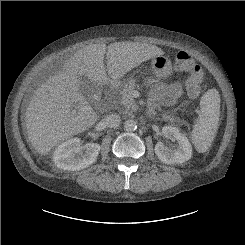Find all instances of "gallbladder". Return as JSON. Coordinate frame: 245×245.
<instances>
[{
    "instance_id": "gallbladder-1",
    "label": "gallbladder",
    "mask_w": 245,
    "mask_h": 245,
    "mask_svg": "<svg viewBox=\"0 0 245 245\" xmlns=\"http://www.w3.org/2000/svg\"><path fill=\"white\" fill-rule=\"evenodd\" d=\"M81 81H82L81 91L83 93H87L91 89H93V87H94L93 83L90 80H88L86 77H81Z\"/></svg>"
}]
</instances>
